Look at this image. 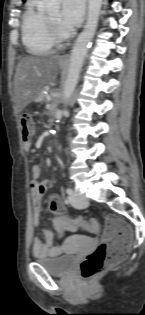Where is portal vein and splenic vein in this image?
I'll list each match as a JSON object with an SVG mask.
<instances>
[{
	"label": "portal vein and splenic vein",
	"mask_w": 145,
	"mask_h": 315,
	"mask_svg": "<svg viewBox=\"0 0 145 315\" xmlns=\"http://www.w3.org/2000/svg\"><path fill=\"white\" fill-rule=\"evenodd\" d=\"M47 99H48V100H50V99H51V97H50V96H47Z\"/></svg>",
	"instance_id": "1"
}]
</instances>
